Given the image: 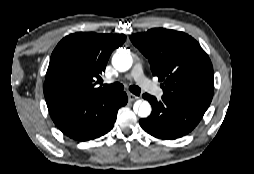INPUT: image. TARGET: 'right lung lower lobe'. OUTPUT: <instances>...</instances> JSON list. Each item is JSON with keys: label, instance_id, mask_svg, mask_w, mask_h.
I'll list each match as a JSON object with an SVG mask.
<instances>
[{"label": "right lung lower lobe", "instance_id": "obj_1", "mask_svg": "<svg viewBox=\"0 0 254 174\" xmlns=\"http://www.w3.org/2000/svg\"><path fill=\"white\" fill-rule=\"evenodd\" d=\"M125 92L119 94L69 97L48 108L56 126L68 137L87 141L98 138L114 125L117 111L127 103Z\"/></svg>", "mask_w": 254, "mask_h": 174}]
</instances>
